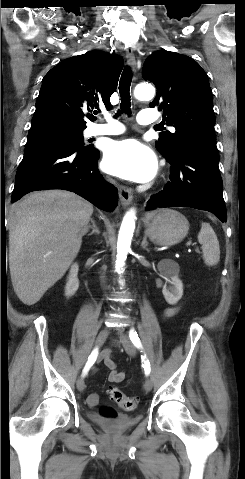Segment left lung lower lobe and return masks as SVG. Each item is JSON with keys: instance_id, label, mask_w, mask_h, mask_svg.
I'll use <instances>...</instances> for the list:
<instances>
[{"instance_id": "1", "label": "left lung lower lobe", "mask_w": 245, "mask_h": 479, "mask_svg": "<svg viewBox=\"0 0 245 479\" xmlns=\"http://www.w3.org/2000/svg\"><path fill=\"white\" fill-rule=\"evenodd\" d=\"M168 162L171 164V181L163 191L151 197L147 209L191 207L209 211L222 222H226L227 213L216 146H192Z\"/></svg>"}]
</instances>
